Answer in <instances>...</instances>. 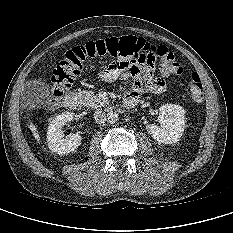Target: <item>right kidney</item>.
<instances>
[{
	"label": "right kidney",
	"instance_id": "right-kidney-1",
	"mask_svg": "<svg viewBox=\"0 0 233 233\" xmlns=\"http://www.w3.org/2000/svg\"><path fill=\"white\" fill-rule=\"evenodd\" d=\"M74 119V113L64 112L52 120L47 131V142L49 149L59 155L69 154L76 150L82 142L78 133L64 136L63 127L67 122Z\"/></svg>",
	"mask_w": 233,
	"mask_h": 233
}]
</instances>
